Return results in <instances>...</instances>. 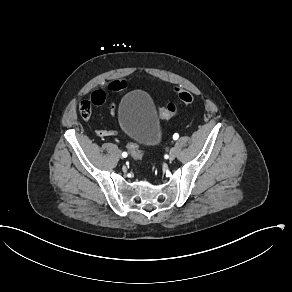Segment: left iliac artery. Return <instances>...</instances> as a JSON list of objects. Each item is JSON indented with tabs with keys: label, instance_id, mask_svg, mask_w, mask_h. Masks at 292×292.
Returning <instances> with one entry per match:
<instances>
[{
	"label": "left iliac artery",
	"instance_id": "left-iliac-artery-1",
	"mask_svg": "<svg viewBox=\"0 0 292 292\" xmlns=\"http://www.w3.org/2000/svg\"><path fill=\"white\" fill-rule=\"evenodd\" d=\"M178 137H179V135H178V134H174V135H173V139H174V140H177V139H178Z\"/></svg>",
	"mask_w": 292,
	"mask_h": 292
}]
</instances>
